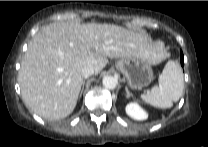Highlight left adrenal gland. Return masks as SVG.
Here are the masks:
<instances>
[{"label":"left adrenal gland","mask_w":208,"mask_h":147,"mask_svg":"<svg viewBox=\"0 0 208 147\" xmlns=\"http://www.w3.org/2000/svg\"><path fill=\"white\" fill-rule=\"evenodd\" d=\"M125 91H126V97L129 98L132 96V94L130 93V91L128 90L127 87H125Z\"/></svg>","instance_id":"obj_1"}]
</instances>
